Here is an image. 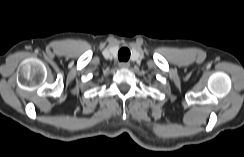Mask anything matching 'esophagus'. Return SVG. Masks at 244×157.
<instances>
[{
  "mask_svg": "<svg viewBox=\"0 0 244 157\" xmlns=\"http://www.w3.org/2000/svg\"><path fill=\"white\" fill-rule=\"evenodd\" d=\"M119 67H121V68H129L130 67V63H128V62H121V63H119Z\"/></svg>",
  "mask_w": 244,
  "mask_h": 157,
  "instance_id": "1",
  "label": "esophagus"
}]
</instances>
